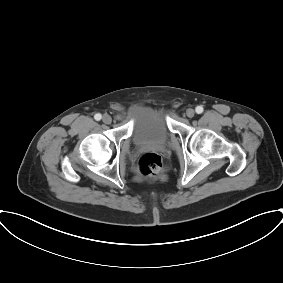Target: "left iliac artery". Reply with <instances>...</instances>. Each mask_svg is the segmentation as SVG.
Listing matches in <instances>:
<instances>
[{"mask_svg": "<svg viewBox=\"0 0 283 283\" xmlns=\"http://www.w3.org/2000/svg\"><path fill=\"white\" fill-rule=\"evenodd\" d=\"M203 107L202 106H197L196 108H195V111H196V113L197 114H201L202 112H203Z\"/></svg>", "mask_w": 283, "mask_h": 283, "instance_id": "44dca946", "label": "left iliac artery"}]
</instances>
